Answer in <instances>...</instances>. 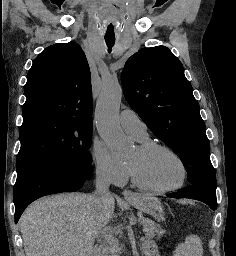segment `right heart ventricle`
<instances>
[{
  "label": "right heart ventricle",
  "mask_w": 236,
  "mask_h": 256,
  "mask_svg": "<svg viewBox=\"0 0 236 256\" xmlns=\"http://www.w3.org/2000/svg\"><path fill=\"white\" fill-rule=\"evenodd\" d=\"M141 142H144V143H146V142H148V139H145V140H143V141H141Z\"/></svg>",
  "instance_id": "1"
}]
</instances>
